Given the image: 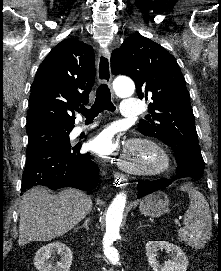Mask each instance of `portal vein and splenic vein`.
<instances>
[{"mask_svg": "<svg viewBox=\"0 0 221 271\" xmlns=\"http://www.w3.org/2000/svg\"><path fill=\"white\" fill-rule=\"evenodd\" d=\"M175 223H179V219H175Z\"/></svg>", "mask_w": 221, "mask_h": 271, "instance_id": "1", "label": "portal vein and splenic vein"}]
</instances>
